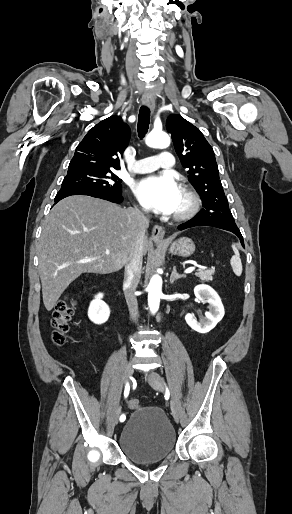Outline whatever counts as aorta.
I'll use <instances>...</instances> for the list:
<instances>
[{"mask_svg":"<svg viewBox=\"0 0 292 514\" xmlns=\"http://www.w3.org/2000/svg\"><path fill=\"white\" fill-rule=\"evenodd\" d=\"M147 146L150 148H168L170 146V138L166 132H156L152 130L146 138ZM148 306L150 312L155 314L159 308L160 298L162 296V278L160 276H153L148 286Z\"/></svg>","mask_w":292,"mask_h":514,"instance_id":"762f6f07","label":"aorta"}]
</instances>
